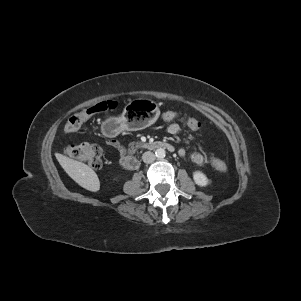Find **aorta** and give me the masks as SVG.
<instances>
[{"mask_svg":"<svg viewBox=\"0 0 301 301\" xmlns=\"http://www.w3.org/2000/svg\"><path fill=\"white\" fill-rule=\"evenodd\" d=\"M155 156L157 158H164L166 156V151L164 148H158L156 151H155Z\"/></svg>","mask_w":301,"mask_h":301,"instance_id":"obj_1","label":"aorta"}]
</instances>
